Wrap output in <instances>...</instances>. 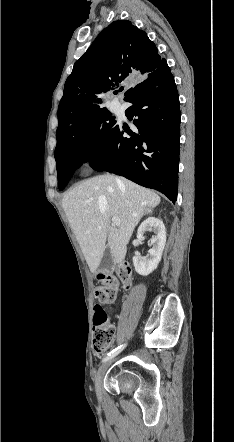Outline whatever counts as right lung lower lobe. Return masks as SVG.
Listing matches in <instances>:
<instances>
[{
    "label": "right lung lower lobe",
    "instance_id": "obj_1",
    "mask_svg": "<svg viewBox=\"0 0 234 442\" xmlns=\"http://www.w3.org/2000/svg\"><path fill=\"white\" fill-rule=\"evenodd\" d=\"M125 111L136 129L117 123L95 158L97 171H108L156 189L175 203L178 189L180 108L174 78L165 63L136 85L125 99ZM124 132L130 137H124Z\"/></svg>",
    "mask_w": 234,
    "mask_h": 442
}]
</instances>
